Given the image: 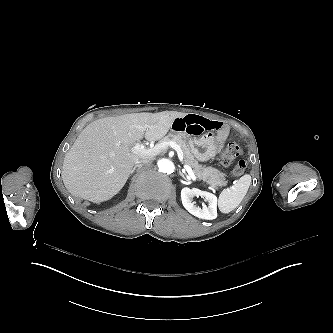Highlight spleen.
<instances>
[{"label": "spleen", "mask_w": 333, "mask_h": 333, "mask_svg": "<svg viewBox=\"0 0 333 333\" xmlns=\"http://www.w3.org/2000/svg\"><path fill=\"white\" fill-rule=\"evenodd\" d=\"M251 184V176L245 174L231 187L223 189L218 198V208L222 213H229L239 206Z\"/></svg>", "instance_id": "1"}]
</instances>
